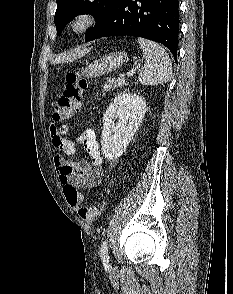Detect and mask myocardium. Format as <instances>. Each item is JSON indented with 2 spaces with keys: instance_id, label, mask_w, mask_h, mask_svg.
<instances>
[{
  "instance_id": "obj_1",
  "label": "myocardium",
  "mask_w": 233,
  "mask_h": 294,
  "mask_svg": "<svg viewBox=\"0 0 233 294\" xmlns=\"http://www.w3.org/2000/svg\"><path fill=\"white\" fill-rule=\"evenodd\" d=\"M95 19L96 15L93 11L87 9L79 10L71 16L68 27L73 33H83L94 24Z\"/></svg>"
}]
</instances>
